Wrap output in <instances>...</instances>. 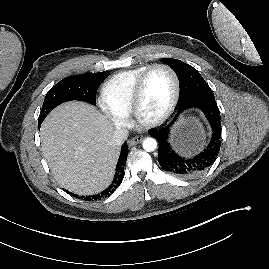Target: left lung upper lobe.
Segmentation results:
<instances>
[{
  "label": "left lung upper lobe",
  "instance_id": "1",
  "mask_svg": "<svg viewBox=\"0 0 269 269\" xmlns=\"http://www.w3.org/2000/svg\"><path fill=\"white\" fill-rule=\"evenodd\" d=\"M160 61L169 65L177 74L181 88L180 105L197 99L215 100L211 88L194 67L177 59L163 58Z\"/></svg>",
  "mask_w": 269,
  "mask_h": 269
}]
</instances>
